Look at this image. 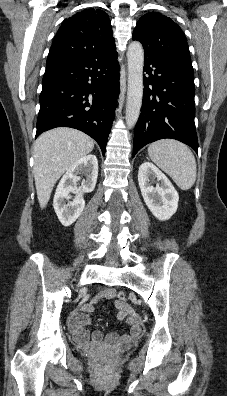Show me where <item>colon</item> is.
Masks as SVG:
<instances>
[{"mask_svg":"<svg viewBox=\"0 0 227 396\" xmlns=\"http://www.w3.org/2000/svg\"><path fill=\"white\" fill-rule=\"evenodd\" d=\"M118 298L124 299V294H123L122 292H119V293H118Z\"/></svg>","mask_w":227,"mask_h":396,"instance_id":"obj_1","label":"colon"}]
</instances>
